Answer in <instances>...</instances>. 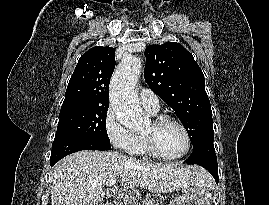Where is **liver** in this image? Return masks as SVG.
<instances>
[{
    "mask_svg": "<svg viewBox=\"0 0 269 205\" xmlns=\"http://www.w3.org/2000/svg\"><path fill=\"white\" fill-rule=\"evenodd\" d=\"M120 177V190L141 187L152 193H170L212 182L197 166L157 164L136 160L119 152L79 151L58 162L52 172V205H98L105 197L104 186Z\"/></svg>",
    "mask_w": 269,
    "mask_h": 205,
    "instance_id": "obj_1",
    "label": "liver"
}]
</instances>
